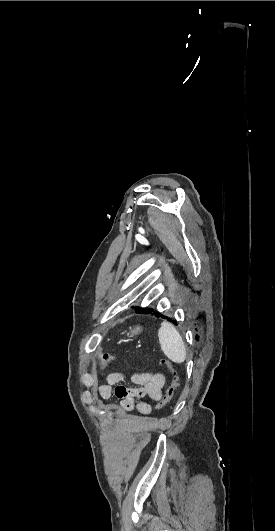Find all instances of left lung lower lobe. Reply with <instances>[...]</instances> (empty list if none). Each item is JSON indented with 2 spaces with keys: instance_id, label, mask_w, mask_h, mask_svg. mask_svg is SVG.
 Returning <instances> with one entry per match:
<instances>
[{
  "instance_id": "1",
  "label": "left lung lower lobe",
  "mask_w": 275,
  "mask_h": 531,
  "mask_svg": "<svg viewBox=\"0 0 275 531\" xmlns=\"http://www.w3.org/2000/svg\"><path fill=\"white\" fill-rule=\"evenodd\" d=\"M152 311H153L152 309H148V310L143 311V312L140 311V313H150V312H152ZM155 316L163 317V316H162L160 313H158V312H155ZM164 318H165V319H168L169 321L174 322V323L176 324V321H172L170 318H166V317H164Z\"/></svg>"
}]
</instances>
